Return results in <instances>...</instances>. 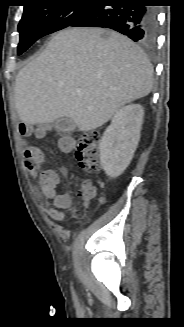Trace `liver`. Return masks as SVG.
I'll return each instance as SVG.
<instances>
[{"mask_svg":"<svg viewBox=\"0 0 184 327\" xmlns=\"http://www.w3.org/2000/svg\"><path fill=\"white\" fill-rule=\"evenodd\" d=\"M152 88L153 67L129 38L107 29L69 28L19 71L15 106L26 124L69 117L87 132Z\"/></svg>","mask_w":184,"mask_h":327,"instance_id":"1","label":"liver"}]
</instances>
